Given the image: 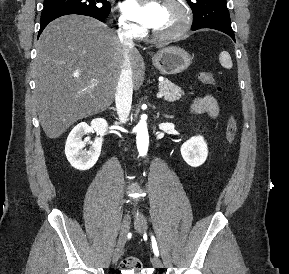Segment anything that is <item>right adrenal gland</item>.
<instances>
[{
	"instance_id": "1",
	"label": "right adrenal gland",
	"mask_w": 289,
	"mask_h": 274,
	"mask_svg": "<svg viewBox=\"0 0 289 274\" xmlns=\"http://www.w3.org/2000/svg\"><path fill=\"white\" fill-rule=\"evenodd\" d=\"M109 109H111V110H113V111H115V110H116L114 107H110Z\"/></svg>"
}]
</instances>
